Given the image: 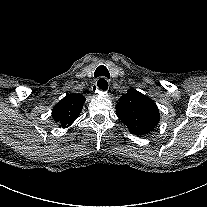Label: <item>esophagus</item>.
<instances>
[{"mask_svg":"<svg viewBox=\"0 0 207 207\" xmlns=\"http://www.w3.org/2000/svg\"><path fill=\"white\" fill-rule=\"evenodd\" d=\"M99 80H100V82L97 85L98 90L100 92H102V93L107 94V91L110 88V85L108 83V80L106 78H104V77L97 79V81H99Z\"/></svg>","mask_w":207,"mask_h":207,"instance_id":"esophagus-1","label":"esophagus"}]
</instances>
